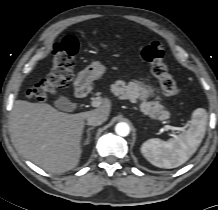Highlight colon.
<instances>
[{"mask_svg": "<svg viewBox=\"0 0 218 210\" xmlns=\"http://www.w3.org/2000/svg\"><path fill=\"white\" fill-rule=\"evenodd\" d=\"M78 52V42L67 36L55 46V57L51 72L38 85L30 89L28 96L38 102L46 101L49 96L64 89L72 79L74 59ZM165 50L159 41H153L142 51V58L158 79L162 92L168 96L179 97L184 87L178 86L164 62Z\"/></svg>", "mask_w": 218, "mask_h": 210, "instance_id": "colon-1", "label": "colon"}]
</instances>
